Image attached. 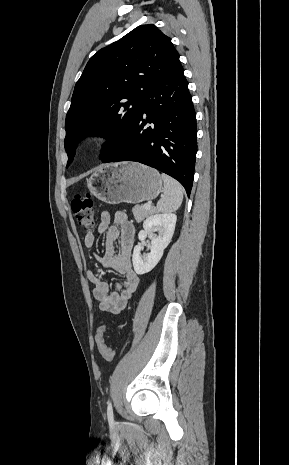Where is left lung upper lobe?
<instances>
[{"label": "left lung upper lobe", "mask_w": 289, "mask_h": 465, "mask_svg": "<svg viewBox=\"0 0 289 465\" xmlns=\"http://www.w3.org/2000/svg\"><path fill=\"white\" fill-rule=\"evenodd\" d=\"M180 66L171 39L153 24L136 27L94 54L66 115L67 166L89 135L109 140L101 158L117 149L140 113L142 97Z\"/></svg>", "instance_id": "1"}]
</instances>
